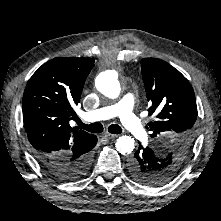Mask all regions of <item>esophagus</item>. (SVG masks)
<instances>
[{"instance_id": "obj_1", "label": "esophagus", "mask_w": 221, "mask_h": 221, "mask_svg": "<svg viewBox=\"0 0 221 221\" xmlns=\"http://www.w3.org/2000/svg\"><path fill=\"white\" fill-rule=\"evenodd\" d=\"M103 136H104L105 138H107V139H113V138L118 137L117 134H111V133H104Z\"/></svg>"}]
</instances>
